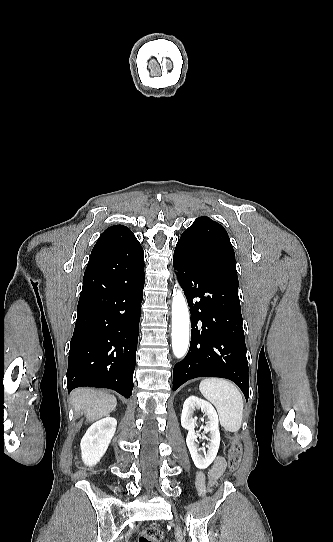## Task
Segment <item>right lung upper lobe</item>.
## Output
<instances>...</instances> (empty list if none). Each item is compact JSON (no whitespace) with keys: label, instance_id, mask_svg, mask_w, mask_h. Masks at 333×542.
Here are the masks:
<instances>
[{"label":"right lung upper lobe","instance_id":"1","mask_svg":"<svg viewBox=\"0 0 333 542\" xmlns=\"http://www.w3.org/2000/svg\"><path fill=\"white\" fill-rule=\"evenodd\" d=\"M133 240L136 238L129 228L123 225H114L101 234L92 251L113 248Z\"/></svg>","mask_w":333,"mask_h":542}]
</instances>
